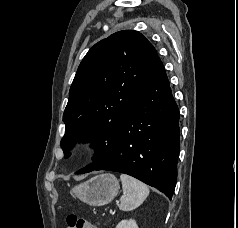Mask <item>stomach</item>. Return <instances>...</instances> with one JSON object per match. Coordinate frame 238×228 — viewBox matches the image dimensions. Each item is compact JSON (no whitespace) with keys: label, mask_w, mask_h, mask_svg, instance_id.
Segmentation results:
<instances>
[{"label":"stomach","mask_w":238,"mask_h":228,"mask_svg":"<svg viewBox=\"0 0 238 228\" xmlns=\"http://www.w3.org/2000/svg\"><path fill=\"white\" fill-rule=\"evenodd\" d=\"M119 188L117 178L112 174L105 173L75 185L70 193L90 206H103L115 198Z\"/></svg>","instance_id":"obj_1"}]
</instances>
